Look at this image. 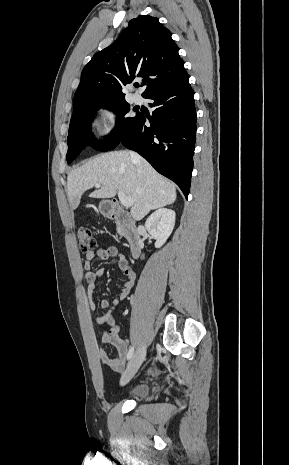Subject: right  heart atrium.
I'll list each match as a JSON object with an SVG mask.
<instances>
[{"label": "right heart atrium", "instance_id": "right-heart-atrium-1", "mask_svg": "<svg viewBox=\"0 0 289 465\" xmlns=\"http://www.w3.org/2000/svg\"><path fill=\"white\" fill-rule=\"evenodd\" d=\"M100 122L99 131L102 135L112 136L118 126L119 117L116 110L108 105H104L99 109Z\"/></svg>", "mask_w": 289, "mask_h": 465}]
</instances>
